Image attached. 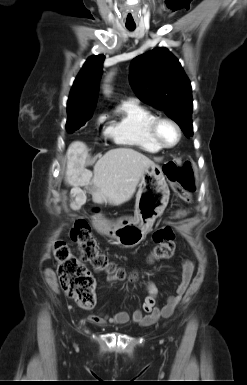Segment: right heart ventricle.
<instances>
[{"mask_svg":"<svg viewBox=\"0 0 247 385\" xmlns=\"http://www.w3.org/2000/svg\"><path fill=\"white\" fill-rule=\"evenodd\" d=\"M156 115L136 102H124L115 111V118L106 134L116 143L138 148L147 153H158L161 148L152 140L149 125Z\"/></svg>","mask_w":247,"mask_h":385,"instance_id":"1","label":"right heart ventricle"}]
</instances>
